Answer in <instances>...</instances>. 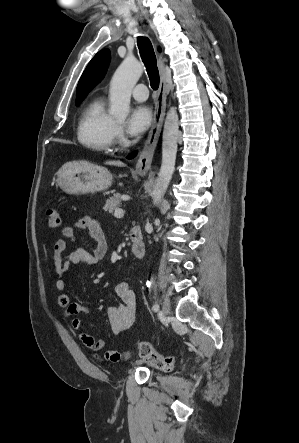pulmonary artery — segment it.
Masks as SVG:
<instances>
[{
  "label": "pulmonary artery",
  "mask_w": 299,
  "mask_h": 443,
  "mask_svg": "<svg viewBox=\"0 0 299 443\" xmlns=\"http://www.w3.org/2000/svg\"><path fill=\"white\" fill-rule=\"evenodd\" d=\"M132 96L137 101H145L148 98V89L145 84H137L132 90Z\"/></svg>",
  "instance_id": "pulmonary-artery-1"
}]
</instances>
